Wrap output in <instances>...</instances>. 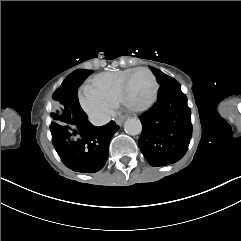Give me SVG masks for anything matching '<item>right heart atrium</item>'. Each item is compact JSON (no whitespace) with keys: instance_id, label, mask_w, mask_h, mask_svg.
<instances>
[{"instance_id":"obj_1","label":"right heart atrium","mask_w":241,"mask_h":241,"mask_svg":"<svg viewBox=\"0 0 241 241\" xmlns=\"http://www.w3.org/2000/svg\"><path fill=\"white\" fill-rule=\"evenodd\" d=\"M78 101L94 124L102 128L110 125L111 119L108 114L114 112L115 104L107 96L99 93L94 84L88 83L79 89Z\"/></svg>"}]
</instances>
